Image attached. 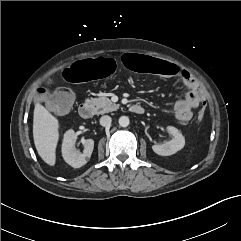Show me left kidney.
<instances>
[{"label": "left kidney", "mask_w": 241, "mask_h": 241, "mask_svg": "<svg viewBox=\"0 0 241 241\" xmlns=\"http://www.w3.org/2000/svg\"><path fill=\"white\" fill-rule=\"evenodd\" d=\"M167 130L173 136V139L163 144H155L152 146L153 151L161 156L173 155L185 145V138L177 128L168 126Z\"/></svg>", "instance_id": "obj_1"}]
</instances>
